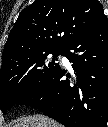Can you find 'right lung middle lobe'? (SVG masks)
Listing matches in <instances>:
<instances>
[{
	"label": "right lung middle lobe",
	"instance_id": "1",
	"mask_svg": "<svg viewBox=\"0 0 108 127\" xmlns=\"http://www.w3.org/2000/svg\"><path fill=\"white\" fill-rule=\"evenodd\" d=\"M64 50H50L13 58L1 67L0 108L5 114L13 105L41 87L59 68L58 55ZM53 55L52 60L47 56Z\"/></svg>",
	"mask_w": 108,
	"mask_h": 127
}]
</instances>
